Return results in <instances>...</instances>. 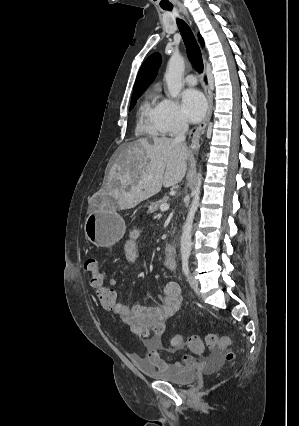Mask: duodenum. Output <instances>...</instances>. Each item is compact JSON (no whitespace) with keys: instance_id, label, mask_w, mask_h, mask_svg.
Segmentation results:
<instances>
[{"instance_id":"1","label":"duodenum","mask_w":299,"mask_h":426,"mask_svg":"<svg viewBox=\"0 0 299 426\" xmlns=\"http://www.w3.org/2000/svg\"><path fill=\"white\" fill-rule=\"evenodd\" d=\"M165 257L169 260H175L176 258V249L173 244L168 243L164 249Z\"/></svg>"}]
</instances>
